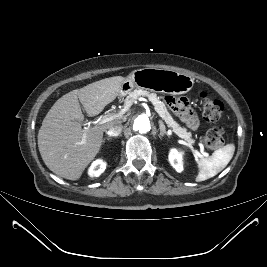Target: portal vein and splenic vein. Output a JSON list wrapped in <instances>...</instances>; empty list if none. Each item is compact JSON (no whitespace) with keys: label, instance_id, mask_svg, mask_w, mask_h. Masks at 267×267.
Masks as SVG:
<instances>
[{"label":"portal vein and splenic vein","instance_id":"obj_1","mask_svg":"<svg viewBox=\"0 0 267 267\" xmlns=\"http://www.w3.org/2000/svg\"><path fill=\"white\" fill-rule=\"evenodd\" d=\"M139 101L147 102V99L140 97V98H139ZM130 106H131V104L127 105L126 108H125L124 110H122V111H120V112H118V113H116V114L105 115V116H103L101 119H99L98 121H96L95 123H96L97 125H102V124H105V123H107V122L113 121V120H115V119H117V118H120V117H122L123 114L129 109ZM85 137H86V136H85V134H84L83 139H82L83 142H85Z\"/></svg>","mask_w":267,"mask_h":267}]
</instances>
